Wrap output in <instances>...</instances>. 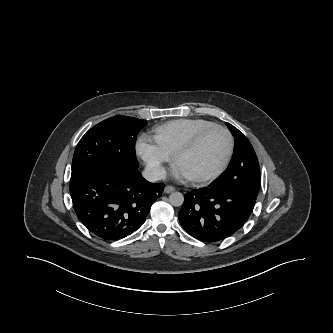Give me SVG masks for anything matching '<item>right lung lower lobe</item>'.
Here are the masks:
<instances>
[{
    "instance_id": "right-lung-lower-lobe-1",
    "label": "right lung lower lobe",
    "mask_w": 333,
    "mask_h": 333,
    "mask_svg": "<svg viewBox=\"0 0 333 333\" xmlns=\"http://www.w3.org/2000/svg\"><path fill=\"white\" fill-rule=\"evenodd\" d=\"M164 184L147 182L141 173L92 172L70 181L77 217L95 236L116 241L135 232L145 222Z\"/></svg>"
}]
</instances>
